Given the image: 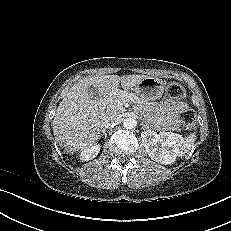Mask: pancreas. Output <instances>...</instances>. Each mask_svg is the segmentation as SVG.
I'll list each match as a JSON object with an SVG mask.
<instances>
[{"mask_svg": "<svg viewBox=\"0 0 231 231\" xmlns=\"http://www.w3.org/2000/svg\"><path fill=\"white\" fill-rule=\"evenodd\" d=\"M126 101L138 104L144 102L134 93L119 91L109 97H106L103 101V105L105 106L107 113H121L123 111L122 104Z\"/></svg>", "mask_w": 231, "mask_h": 231, "instance_id": "cf45deb5", "label": "pancreas"}]
</instances>
